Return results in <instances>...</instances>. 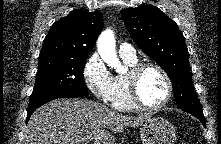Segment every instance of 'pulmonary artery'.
Segmentation results:
<instances>
[{"mask_svg":"<svg viewBox=\"0 0 221 144\" xmlns=\"http://www.w3.org/2000/svg\"><path fill=\"white\" fill-rule=\"evenodd\" d=\"M119 55L122 58L136 59V51L133 46L128 43H121L118 49Z\"/></svg>","mask_w":221,"mask_h":144,"instance_id":"obj_1","label":"pulmonary artery"}]
</instances>
